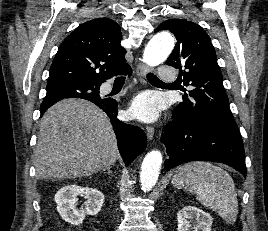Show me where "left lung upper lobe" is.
I'll list each match as a JSON object with an SVG mask.
<instances>
[{
    "label": "left lung upper lobe",
    "instance_id": "left-lung-upper-lobe-1",
    "mask_svg": "<svg viewBox=\"0 0 268 231\" xmlns=\"http://www.w3.org/2000/svg\"><path fill=\"white\" fill-rule=\"evenodd\" d=\"M160 30L171 31L177 40L166 64L179 68L180 82L192 87L173 113L186 120L216 123L239 133L207 33L184 19L166 20L155 32Z\"/></svg>",
    "mask_w": 268,
    "mask_h": 231
}]
</instances>
